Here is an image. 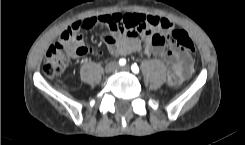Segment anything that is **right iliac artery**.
<instances>
[{
    "label": "right iliac artery",
    "instance_id": "82829eb1",
    "mask_svg": "<svg viewBox=\"0 0 245 145\" xmlns=\"http://www.w3.org/2000/svg\"><path fill=\"white\" fill-rule=\"evenodd\" d=\"M119 64L121 66H124L126 64V60L125 59H120Z\"/></svg>",
    "mask_w": 245,
    "mask_h": 145
}]
</instances>
